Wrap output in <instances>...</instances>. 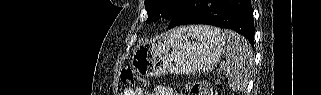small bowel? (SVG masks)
I'll list each match as a JSON object with an SVG mask.
<instances>
[{
	"label": "small bowel",
	"mask_w": 321,
	"mask_h": 95,
	"mask_svg": "<svg viewBox=\"0 0 321 95\" xmlns=\"http://www.w3.org/2000/svg\"><path fill=\"white\" fill-rule=\"evenodd\" d=\"M127 95H150V93L142 88L136 91L126 90ZM154 95H179L176 91L168 86L159 85L154 90Z\"/></svg>",
	"instance_id": "small-bowel-1"
}]
</instances>
